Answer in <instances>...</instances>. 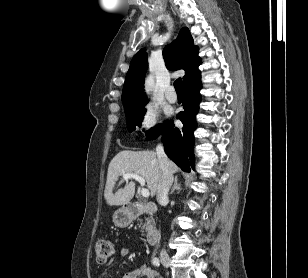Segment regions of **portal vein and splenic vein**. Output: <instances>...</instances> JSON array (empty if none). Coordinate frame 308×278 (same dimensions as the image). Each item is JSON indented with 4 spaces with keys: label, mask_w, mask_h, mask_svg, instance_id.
<instances>
[{
    "label": "portal vein and splenic vein",
    "mask_w": 308,
    "mask_h": 278,
    "mask_svg": "<svg viewBox=\"0 0 308 278\" xmlns=\"http://www.w3.org/2000/svg\"><path fill=\"white\" fill-rule=\"evenodd\" d=\"M123 179H125V180H127V179H135L142 186L141 195L143 197H145V198L149 197L150 193H149L148 189L144 188L145 179L142 176H140L138 174H135V173H124L123 174Z\"/></svg>",
    "instance_id": "1"
}]
</instances>
